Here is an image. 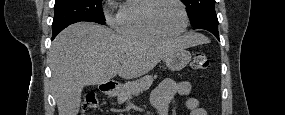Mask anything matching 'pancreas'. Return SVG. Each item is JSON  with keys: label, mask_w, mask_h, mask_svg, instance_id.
I'll return each mask as SVG.
<instances>
[{"label": "pancreas", "mask_w": 285, "mask_h": 115, "mask_svg": "<svg viewBox=\"0 0 285 115\" xmlns=\"http://www.w3.org/2000/svg\"><path fill=\"white\" fill-rule=\"evenodd\" d=\"M156 78V75H146L138 80L127 82L120 89L117 99L118 103H124L128 99H131L132 96H137L143 91L147 90Z\"/></svg>", "instance_id": "obj_1"}]
</instances>
